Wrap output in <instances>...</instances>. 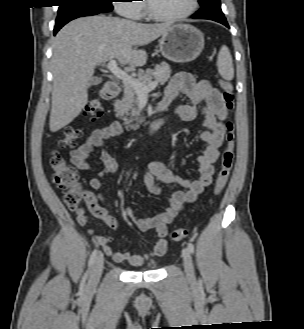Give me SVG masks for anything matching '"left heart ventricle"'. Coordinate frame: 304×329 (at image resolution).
<instances>
[{
	"mask_svg": "<svg viewBox=\"0 0 304 329\" xmlns=\"http://www.w3.org/2000/svg\"><path fill=\"white\" fill-rule=\"evenodd\" d=\"M153 10L161 15H177L187 11L191 0H149Z\"/></svg>",
	"mask_w": 304,
	"mask_h": 329,
	"instance_id": "1",
	"label": "left heart ventricle"
}]
</instances>
